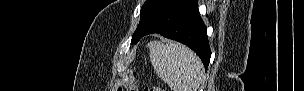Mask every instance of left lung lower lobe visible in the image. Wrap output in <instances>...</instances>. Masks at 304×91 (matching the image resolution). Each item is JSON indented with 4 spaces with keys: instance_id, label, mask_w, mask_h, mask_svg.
Returning a JSON list of instances; mask_svg holds the SVG:
<instances>
[{
    "instance_id": "0a47b994",
    "label": "left lung lower lobe",
    "mask_w": 304,
    "mask_h": 91,
    "mask_svg": "<svg viewBox=\"0 0 304 91\" xmlns=\"http://www.w3.org/2000/svg\"><path fill=\"white\" fill-rule=\"evenodd\" d=\"M197 2L198 0H171L142 37L160 33L166 38L183 43L196 52L207 69L211 50Z\"/></svg>"
}]
</instances>
